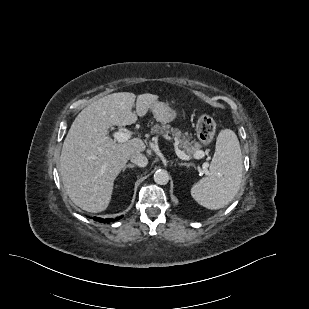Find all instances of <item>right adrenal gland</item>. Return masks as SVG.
<instances>
[{
    "mask_svg": "<svg viewBox=\"0 0 309 309\" xmlns=\"http://www.w3.org/2000/svg\"><path fill=\"white\" fill-rule=\"evenodd\" d=\"M134 167H135V165H133V164H127V165H125V166L123 167L122 170L125 171L126 168H132V169H133Z\"/></svg>",
    "mask_w": 309,
    "mask_h": 309,
    "instance_id": "2a0ac1e0",
    "label": "right adrenal gland"
}]
</instances>
